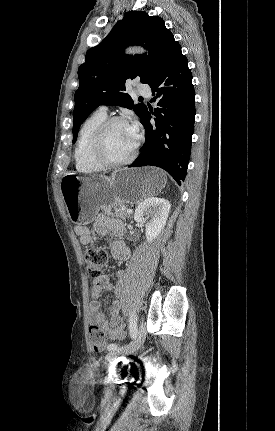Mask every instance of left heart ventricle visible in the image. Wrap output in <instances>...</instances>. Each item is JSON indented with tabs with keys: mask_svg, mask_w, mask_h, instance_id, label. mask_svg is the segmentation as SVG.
Returning <instances> with one entry per match:
<instances>
[{
	"mask_svg": "<svg viewBox=\"0 0 275 431\" xmlns=\"http://www.w3.org/2000/svg\"><path fill=\"white\" fill-rule=\"evenodd\" d=\"M134 141L126 123L113 125L107 133L105 140V154L113 161L126 159L134 148Z\"/></svg>",
	"mask_w": 275,
	"mask_h": 431,
	"instance_id": "b2bd125f",
	"label": "left heart ventricle"
}]
</instances>
